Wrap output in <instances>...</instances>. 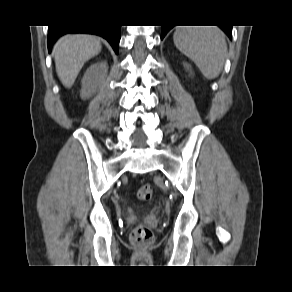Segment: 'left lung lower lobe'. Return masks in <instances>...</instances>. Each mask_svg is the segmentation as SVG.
<instances>
[{
    "label": "left lung lower lobe",
    "mask_w": 292,
    "mask_h": 292,
    "mask_svg": "<svg viewBox=\"0 0 292 292\" xmlns=\"http://www.w3.org/2000/svg\"><path fill=\"white\" fill-rule=\"evenodd\" d=\"M173 26H162V33H161V39L164 38V36L167 34V32L172 28ZM221 29L229 36V38L232 37V26H219Z\"/></svg>",
    "instance_id": "left-lung-lower-lobe-1"
}]
</instances>
